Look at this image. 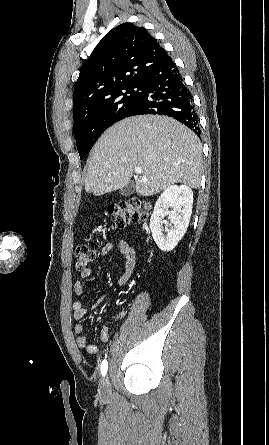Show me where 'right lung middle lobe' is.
<instances>
[{"mask_svg":"<svg viewBox=\"0 0 269 445\" xmlns=\"http://www.w3.org/2000/svg\"><path fill=\"white\" fill-rule=\"evenodd\" d=\"M143 89L142 83L125 85L73 109L74 136L80 159L88 154L108 127L128 116L139 102Z\"/></svg>","mask_w":269,"mask_h":445,"instance_id":"dd1d6c3e","label":"right lung middle lobe"}]
</instances>
